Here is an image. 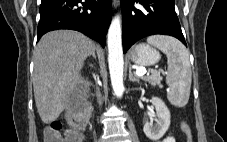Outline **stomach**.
Wrapping results in <instances>:
<instances>
[{
    "label": "stomach",
    "instance_id": "1",
    "mask_svg": "<svg viewBox=\"0 0 227 142\" xmlns=\"http://www.w3.org/2000/svg\"><path fill=\"white\" fill-rule=\"evenodd\" d=\"M133 63L140 66H152L160 60L159 52L147 44L136 45L129 53Z\"/></svg>",
    "mask_w": 227,
    "mask_h": 142
}]
</instances>
